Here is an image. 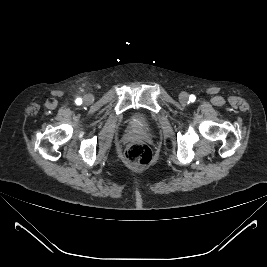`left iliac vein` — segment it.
Returning a JSON list of instances; mask_svg holds the SVG:
<instances>
[{
  "instance_id": "obj_1",
  "label": "left iliac vein",
  "mask_w": 267,
  "mask_h": 267,
  "mask_svg": "<svg viewBox=\"0 0 267 267\" xmlns=\"http://www.w3.org/2000/svg\"><path fill=\"white\" fill-rule=\"evenodd\" d=\"M179 100L182 104H186L188 102V94L186 92H181L179 95Z\"/></svg>"
}]
</instances>
